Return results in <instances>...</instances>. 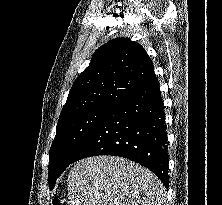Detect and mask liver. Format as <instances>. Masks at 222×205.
I'll return each instance as SVG.
<instances>
[{
	"mask_svg": "<svg viewBox=\"0 0 222 205\" xmlns=\"http://www.w3.org/2000/svg\"><path fill=\"white\" fill-rule=\"evenodd\" d=\"M166 188L148 169L115 156L78 161L68 176V205H166Z\"/></svg>",
	"mask_w": 222,
	"mask_h": 205,
	"instance_id": "6515ba94",
	"label": "liver"
}]
</instances>
